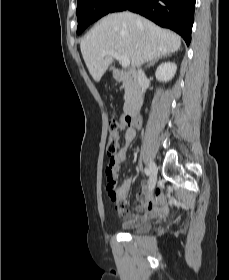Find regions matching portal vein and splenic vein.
<instances>
[{"label":"portal vein and splenic vein","instance_id":"1","mask_svg":"<svg viewBox=\"0 0 229 280\" xmlns=\"http://www.w3.org/2000/svg\"><path fill=\"white\" fill-rule=\"evenodd\" d=\"M107 55H110L114 57L115 59L119 60L122 64V67L126 68L130 65V59L127 57H124L123 55L115 52V51H104L101 53L102 57H105Z\"/></svg>","mask_w":229,"mask_h":280}]
</instances>
